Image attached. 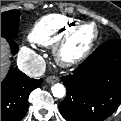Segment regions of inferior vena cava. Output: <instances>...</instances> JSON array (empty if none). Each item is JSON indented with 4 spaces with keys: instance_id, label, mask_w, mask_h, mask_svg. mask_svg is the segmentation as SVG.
Listing matches in <instances>:
<instances>
[{
    "instance_id": "inferior-vena-cava-1",
    "label": "inferior vena cava",
    "mask_w": 121,
    "mask_h": 121,
    "mask_svg": "<svg viewBox=\"0 0 121 121\" xmlns=\"http://www.w3.org/2000/svg\"><path fill=\"white\" fill-rule=\"evenodd\" d=\"M19 69L30 77L42 76L46 69V64L40 55H35L28 63H19Z\"/></svg>"
}]
</instances>
